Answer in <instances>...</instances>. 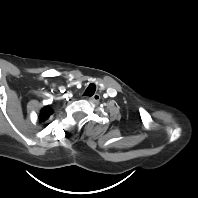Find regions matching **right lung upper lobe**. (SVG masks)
<instances>
[{"instance_id":"cb5924a9","label":"right lung upper lobe","mask_w":198,"mask_h":198,"mask_svg":"<svg viewBox=\"0 0 198 198\" xmlns=\"http://www.w3.org/2000/svg\"><path fill=\"white\" fill-rule=\"evenodd\" d=\"M53 114V111L50 109L49 106H45L44 108H42V110L40 111V115H39V121H45L47 120L50 115Z\"/></svg>"}]
</instances>
